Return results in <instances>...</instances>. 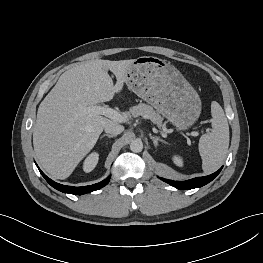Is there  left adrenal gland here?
Here are the masks:
<instances>
[{"label":"left adrenal gland","instance_id":"a2214340","mask_svg":"<svg viewBox=\"0 0 263 263\" xmlns=\"http://www.w3.org/2000/svg\"><path fill=\"white\" fill-rule=\"evenodd\" d=\"M150 139L153 141L155 147L158 146V143H159V142H161V143H163V144H166V142H165L163 139H161L160 137H157V136H151V135H150Z\"/></svg>","mask_w":263,"mask_h":263}]
</instances>
